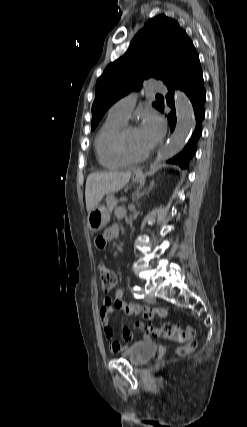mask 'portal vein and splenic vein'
Wrapping results in <instances>:
<instances>
[{
    "mask_svg": "<svg viewBox=\"0 0 247 427\" xmlns=\"http://www.w3.org/2000/svg\"><path fill=\"white\" fill-rule=\"evenodd\" d=\"M120 201H121V202H125V201H127V197H126V196L121 197V198H120Z\"/></svg>",
    "mask_w": 247,
    "mask_h": 427,
    "instance_id": "portal-vein-and-splenic-vein-1",
    "label": "portal vein and splenic vein"
}]
</instances>
